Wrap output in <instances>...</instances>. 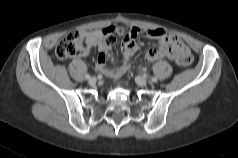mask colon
I'll return each mask as SVG.
<instances>
[{"label":"colon","instance_id":"obj_1","mask_svg":"<svg viewBox=\"0 0 238 158\" xmlns=\"http://www.w3.org/2000/svg\"><path fill=\"white\" fill-rule=\"evenodd\" d=\"M120 28H106L100 31V37L102 42L111 45L116 41V38L122 34ZM86 53V46L84 44V38L81 33L73 31L65 35L56 46L55 54L58 59L64 60L67 58L81 56ZM176 64L185 68L192 63V57L188 54H176Z\"/></svg>","mask_w":238,"mask_h":158}]
</instances>
